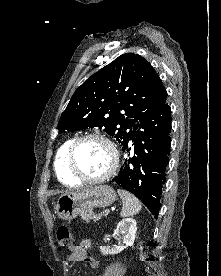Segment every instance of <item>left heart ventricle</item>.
Returning a JSON list of instances; mask_svg holds the SVG:
<instances>
[{
  "label": "left heart ventricle",
  "mask_w": 221,
  "mask_h": 276,
  "mask_svg": "<svg viewBox=\"0 0 221 276\" xmlns=\"http://www.w3.org/2000/svg\"><path fill=\"white\" fill-rule=\"evenodd\" d=\"M112 155L108 146L96 139L82 142L75 152V164L85 176L98 177L111 165Z\"/></svg>",
  "instance_id": "obj_1"
}]
</instances>
